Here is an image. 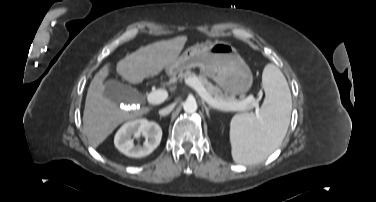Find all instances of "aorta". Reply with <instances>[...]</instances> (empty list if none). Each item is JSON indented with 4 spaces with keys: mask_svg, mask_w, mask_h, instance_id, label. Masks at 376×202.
Listing matches in <instances>:
<instances>
[{
    "mask_svg": "<svg viewBox=\"0 0 376 202\" xmlns=\"http://www.w3.org/2000/svg\"><path fill=\"white\" fill-rule=\"evenodd\" d=\"M197 103L194 99H188L183 104V109L186 113H194L197 111Z\"/></svg>",
    "mask_w": 376,
    "mask_h": 202,
    "instance_id": "1",
    "label": "aorta"
}]
</instances>
